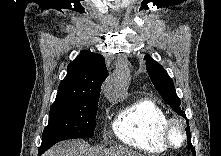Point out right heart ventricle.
<instances>
[{"mask_svg": "<svg viewBox=\"0 0 221 156\" xmlns=\"http://www.w3.org/2000/svg\"><path fill=\"white\" fill-rule=\"evenodd\" d=\"M169 116L156 101L138 99L119 112L113 122L116 137L124 144L148 154L168 150L163 140V128Z\"/></svg>", "mask_w": 221, "mask_h": 156, "instance_id": "right-heart-ventricle-1", "label": "right heart ventricle"}]
</instances>
